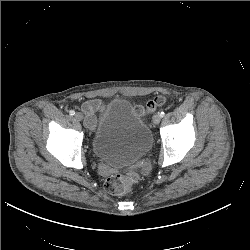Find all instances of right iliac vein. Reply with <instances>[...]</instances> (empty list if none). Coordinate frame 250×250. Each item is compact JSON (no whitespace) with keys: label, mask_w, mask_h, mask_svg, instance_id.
Instances as JSON below:
<instances>
[{"label":"right iliac vein","mask_w":250,"mask_h":250,"mask_svg":"<svg viewBox=\"0 0 250 250\" xmlns=\"http://www.w3.org/2000/svg\"><path fill=\"white\" fill-rule=\"evenodd\" d=\"M74 118L75 120L77 121H81L83 119V115L80 113V112H77L75 115H74Z\"/></svg>","instance_id":"63e3f726"}]
</instances>
